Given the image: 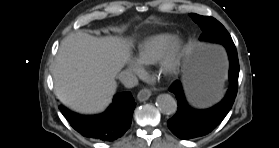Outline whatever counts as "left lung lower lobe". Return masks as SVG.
I'll use <instances>...</instances> for the list:
<instances>
[{
  "label": "left lung lower lobe",
  "instance_id": "left-lung-lower-lobe-1",
  "mask_svg": "<svg viewBox=\"0 0 279 148\" xmlns=\"http://www.w3.org/2000/svg\"><path fill=\"white\" fill-rule=\"evenodd\" d=\"M221 44L227 49L229 56L230 86L220 103L206 110H196L187 104L179 81H175L169 89L176 95L178 109L176 114L168 120V127L180 139L188 140L210 133L223 121L232 108L238 89V55L232 40L224 41Z\"/></svg>",
  "mask_w": 279,
  "mask_h": 148
}]
</instances>
